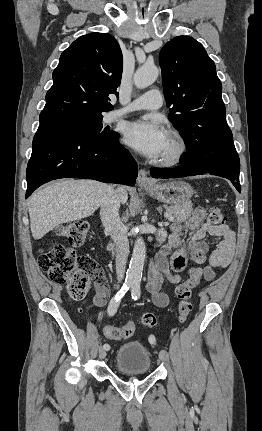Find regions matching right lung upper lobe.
<instances>
[{"instance_id":"1","label":"right lung upper lobe","mask_w":262,"mask_h":431,"mask_svg":"<svg viewBox=\"0 0 262 431\" xmlns=\"http://www.w3.org/2000/svg\"><path fill=\"white\" fill-rule=\"evenodd\" d=\"M122 69V52L113 36L91 33L79 37L60 56L40 125H57L111 111L109 96L119 95Z\"/></svg>"}]
</instances>
